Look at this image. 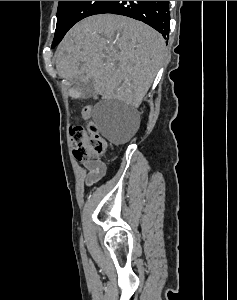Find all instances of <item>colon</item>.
Returning <instances> with one entry per match:
<instances>
[{"instance_id": "1", "label": "colon", "mask_w": 237, "mask_h": 300, "mask_svg": "<svg viewBox=\"0 0 237 300\" xmlns=\"http://www.w3.org/2000/svg\"><path fill=\"white\" fill-rule=\"evenodd\" d=\"M83 112L90 114L87 107ZM74 156L81 161L95 160L103 157L107 151V141L100 135L97 126L89 122L84 126H74L70 131Z\"/></svg>"}]
</instances>
